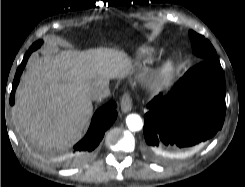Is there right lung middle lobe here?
<instances>
[{"label": "right lung middle lobe", "instance_id": "obj_1", "mask_svg": "<svg viewBox=\"0 0 245 187\" xmlns=\"http://www.w3.org/2000/svg\"><path fill=\"white\" fill-rule=\"evenodd\" d=\"M41 44H42V41H37L30 48L36 50L41 46Z\"/></svg>", "mask_w": 245, "mask_h": 187}]
</instances>
